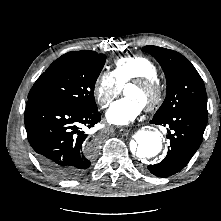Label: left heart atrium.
<instances>
[{"instance_id": "obj_1", "label": "left heart atrium", "mask_w": 221, "mask_h": 221, "mask_svg": "<svg viewBox=\"0 0 221 221\" xmlns=\"http://www.w3.org/2000/svg\"><path fill=\"white\" fill-rule=\"evenodd\" d=\"M142 109L143 104L140 101L125 96L110 105L106 112V118L113 125H127L138 117Z\"/></svg>"}]
</instances>
